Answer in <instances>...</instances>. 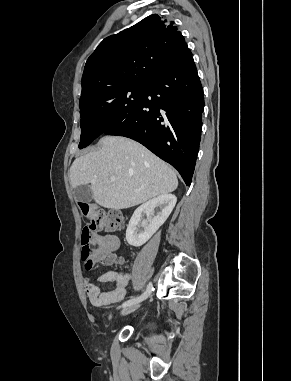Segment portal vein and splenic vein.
<instances>
[{"label":"portal vein and splenic vein","instance_id":"18ae733b","mask_svg":"<svg viewBox=\"0 0 291 381\" xmlns=\"http://www.w3.org/2000/svg\"><path fill=\"white\" fill-rule=\"evenodd\" d=\"M111 181H113V182H114V181H115V179L112 177V178H111Z\"/></svg>","mask_w":291,"mask_h":381}]
</instances>
